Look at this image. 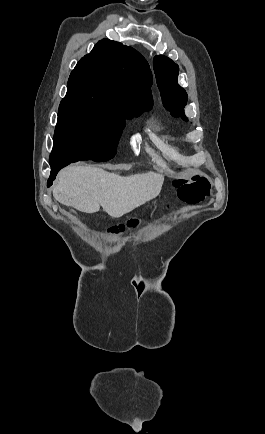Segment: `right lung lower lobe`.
I'll use <instances>...</instances> for the list:
<instances>
[{
	"label": "right lung lower lobe",
	"instance_id": "1",
	"mask_svg": "<svg viewBox=\"0 0 265 434\" xmlns=\"http://www.w3.org/2000/svg\"><path fill=\"white\" fill-rule=\"evenodd\" d=\"M70 163H65V164H60V165H56V166H51V174L50 177L48 179L47 182V186H51L53 183V180L55 179L56 174L59 172L60 169H62L63 167L67 166Z\"/></svg>",
	"mask_w": 265,
	"mask_h": 434
}]
</instances>
